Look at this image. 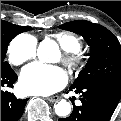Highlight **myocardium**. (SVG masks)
Instances as JSON below:
<instances>
[{"instance_id": "myocardium-1", "label": "myocardium", "mask_w": 121, "mask_h": 121, "mask_svg": "<svg viewBox=\"0 0 121 121\" xmlns=\"http://www.w3.org/2000/svg\"><path fill=\"white\" fill-rule=\"evenodd\" d=\"M62 61L66 64L71 70H77L81 68L84 64V58L77 52L71 51L64 53Z\"/></svg>"}]
</instances>
